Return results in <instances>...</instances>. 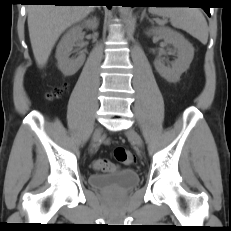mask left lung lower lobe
Listing matches in <instances>:
<instances>
[{
  "label": "left lung lower lobe",
  "mask_w": 231,
  "mask_h": 231,
  "mask_svg": "<svg viewBox=\"0 0 231 231\" xmlns=\"http://www.w3.org/2000/svg\"><path fill=\"white\" fill-rule=\"evenodd\" d=\"M132 2H134V6H150L149 4H155V3H159L157 2L158 0H131ZM206 13L210 16V10L209 7H202Z\"/></svg>",
  "instance_id": "1"
}]
</instances>
